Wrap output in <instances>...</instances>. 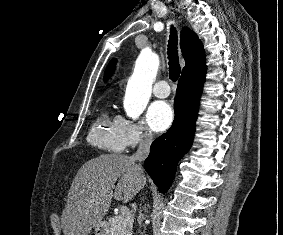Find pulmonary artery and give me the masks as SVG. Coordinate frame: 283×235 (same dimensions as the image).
I'll return each instance as SVG.
<instances>
[{"label":"pulmonary artery","instance_id":"e3ab8cb5","mask_svg":"<svg viewBox=\"0 0 283 235\" xmlns=\"http://www.w3.org/2000/svg\"><path fill=\"white\" fill-rule=\"evenodd\" d=\"M153 94L158 98H166L170 95V88L167 81H158L152 89Z\"/></svg>","mask_w":283,"mask_h":235}]
</instances>
